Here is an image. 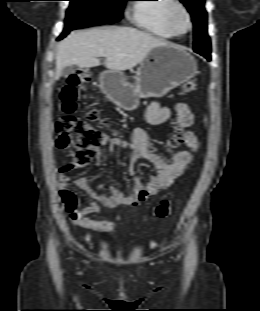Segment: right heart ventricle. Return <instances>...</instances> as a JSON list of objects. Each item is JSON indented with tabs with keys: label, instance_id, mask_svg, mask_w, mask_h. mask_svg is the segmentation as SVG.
<instances>
[{
	"label": "right heart ventricle",
	"instance_id": "1",
	"mask_svg": "<svg viewBox=\"0 0 260 311\" xmlns=\"http://www.w3.org/2000/svg\"><path fill=\"white\" fill-rule=\"evenodd\" d=\"M155 3H138L133 7L132 20L140 28L160 38H173L166 23V10L172 0H138Z\"/></svg>",
	"mask_w": 260,
	"mask_h": 311
}]
</instances>
